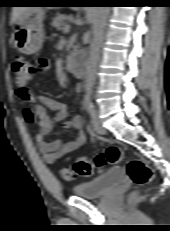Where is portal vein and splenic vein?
<instances>
[{"instance_id":"1","label":"portal vein and splenic vein","mask_w":170,"mask_h":231,"mask_svg":"<svg viewBox=\"0 0 170 231\" xmlns=\"http://www.w3.org/2000/svg\"><path fill=\"white\" fill-rule=\"evenodd\" d=\"M70 30V26L69 25H66L63 29L64 33H68Z\"/></svg>"}]
</instances>
